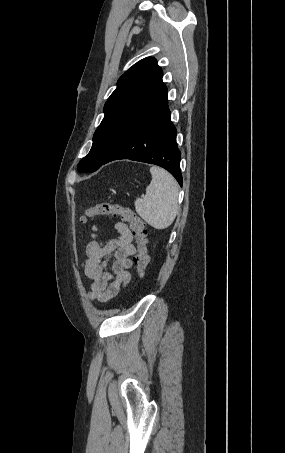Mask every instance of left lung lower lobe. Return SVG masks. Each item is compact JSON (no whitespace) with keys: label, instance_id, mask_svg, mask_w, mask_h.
<instances>
[{"label":"left lung lower lobe","instance_id":"obj_1","mask_svg":"<svg viewBox=\"0 0 285 453\" xmlns=\"http://www.w3.org/2000/svg\"><path fill=\"white\" fill-rule=\"evenodd\" d=\"M117 159L159 165L182 186L181 154L176 143V128L170 118L166 86L129 125L103 164Z\"/></svg>","mask_w":285,"mask_h":453}]
</instances>
